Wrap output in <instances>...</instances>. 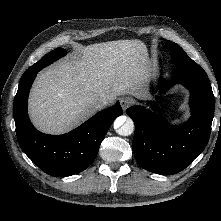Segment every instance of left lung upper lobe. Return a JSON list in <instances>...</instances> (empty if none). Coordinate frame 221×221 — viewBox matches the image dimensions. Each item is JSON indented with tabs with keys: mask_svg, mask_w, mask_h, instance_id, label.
Listing matches in <instances>:
<instances>
[{
	"mask_svg": "<svg viewBox=\"0 0 221 221\" xmlns=\"http://www.w3.org/2000/svg\"><path fill=\"white\" fill-rule=\"evenodd\" d=\"M167 46L170 49L173 61L177 65H186L188 63H193L194 62L192 59H190L187 56V54L184 52V50L182 48H180L176 43L168 42Z\"/></svg>",
	"mask_w": 221,
	"mask_h": 221,
	"instance_id": "5c2ea615",
	"label": "left lung upper lobe"
}]
</instances>
